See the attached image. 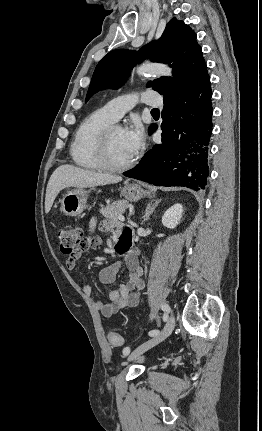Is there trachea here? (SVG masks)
I'll use <instances>...</instances> for the list:
<instances>
[{
	"instance_id": "trachea-1",
	"label": "trachea",
	"mask_w": 262,
	"mask_h": 431,
	"mask_svg": "<svg viewBox=\"0 0 262 431\" xmlns=\"http://www.w3.org/2000/svg\"><path fill=\"white\" fill-rule=\"evenodd\" d=\"M153 114L154 113H157V114H159V109H157V108H154V109H152V111H151Z\"/></svg>"
}]
</instances>
